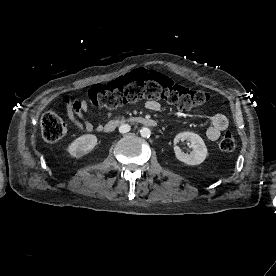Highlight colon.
<instances>
[{
	"mask_svg": "<svg viewBox=\"0 0 276 276\" xmlns=\"http://www.w3.org/2000/svg\"><path fill=\"white\" fill-rule=\"evenodd\" d=\"M87 97L93 105L108 108L139 99H161L180 109H187L203 105L210 99L205 91L183 87L168 76L145 68L136 69L108 84L94 85L88 90ZM66 131V124L58 115L45 113L41 117V132L45 141L56 142ZM235 145L233 133L227 131L220 140V149L230 152Z\"/></svg>",
	"mask_w": 276,
	"mask_h": 276,
	"instance_id": "colon-1",
	"label": "colon"
}]
</instances>
